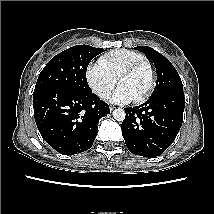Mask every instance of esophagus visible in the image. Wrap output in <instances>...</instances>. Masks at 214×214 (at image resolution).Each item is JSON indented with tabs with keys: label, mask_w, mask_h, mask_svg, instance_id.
<instances>
[{
	"label": "esophagus",
	"mask_w": 214,
	"mask_h": 214,
	"mask_svg": "<svg viewBox=\"0 0 214 214\" xmlns=\"http://www.w3.org/2000/svg\"><path fill=\"white\" fill-rule=\"evenodd\" d=\"M109 109H110V111H113L114 110V106H110Z\"/></svg>",
	"instance_id": "esophagus-1"
}]
</instances>
